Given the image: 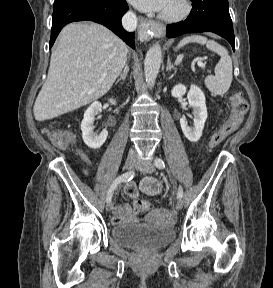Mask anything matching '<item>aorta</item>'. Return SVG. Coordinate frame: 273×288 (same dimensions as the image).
I'll use <instances>...</instances> for the list:
<instances>
[{
	"label": "aorta",
	"instance_id": "obj_1",
	"mask_svg": "<svg viewBox=\"0 0 273 288\" xmlns=\"http://www.w3.org/2000/svg\"><path fill=\"white\" fill-rule=\"evenodd\" d=\"M162 62V51L160 45L152 46L146 54L144 61V73L146 82L154 85Z\"/></svg>",
	"mask_w": 273,
	"mask_h": 288
}]
</instances>
